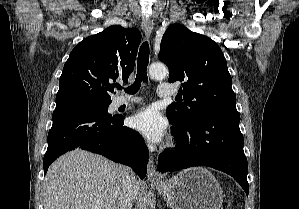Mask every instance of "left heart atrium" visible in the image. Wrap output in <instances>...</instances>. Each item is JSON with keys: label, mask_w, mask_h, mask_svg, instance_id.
I'll list each match as a JSON object with an SVG mask.
<instances>
[{"label": "left heart atrium", "mask_w": 299, "mask_h": 209, "mask_svg": "<svg viewBox=\"0 0 299 209\" xmlns=\"http://www.w3.org/2000/svg\"><path fill=\"white\" fill-rule=\"evenodd\" d=\"M131 127L149 142H160L167 130V121L155 107H147L135 113L130 120Z\"/></svg>", "instance_id": "obj_1"}]
</instances>
